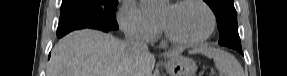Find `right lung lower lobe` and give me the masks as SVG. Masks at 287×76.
Returning a JSON list of instances; mask_svg holds the SVG:
<instances>
[{
    "label": "right lung lower lobe",
    "mask_w": 287,
    "mask_h": 76,
    "mask_svg": "<svg viewBox=\"0 0 287 76\" xmlns=\"http://www.w3.org/2000/svg\"><path fill=\"white\" fill-rule=\"evenodd\" d=\"M95 29H99V30H102V31H105V32L111 31L110 29H107V28H95Z\"/></svg>",
    "instance_id": "obj_1"
}]
</instances>
